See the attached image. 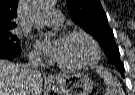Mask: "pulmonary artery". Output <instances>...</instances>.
Here are the masks:
<instances>
[{
    "mask_svg": "<svg viewBox=\"0 0 135 95\" xmlns=\"http://www.w3.org/2000/svg\"><path fill=\"white\" fill-rule=\"evenodd\" d=\"M45 22L52 26H58L63 21V16L58 10H51L44 18Z\"/></svg>",
    "mask_w": 135,
    "mask_h": 95,
    "instance_id": "e3ab8cb5",
    "label": "pulmonary artery"
}]
</instances>
